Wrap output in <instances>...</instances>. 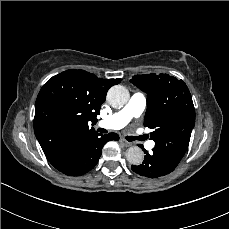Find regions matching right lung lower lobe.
Wrapping results in <instances>:
<instances>
[{
  "label": "right lung lower lobe",
  "instance_id": "obj_1",
  "mask_svg": "<svg viewBox=\"0 0 229 229\" xmlns=\"http://www.w3.org/2000/svg\"><path fill=\"white\" fill-rule=\"evenodd\" d=\"M116 133L94 134L80 142L61 162L54 167L68 176H80L90 171L101 156L104 144L118 140Z\"/></svg>",
  "mask_w": 229,
  "mask_h": 229
}]
</instances>
